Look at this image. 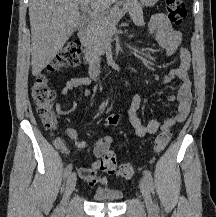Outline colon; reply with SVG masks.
<instances>
[{
  "label": "colon",
  "mask_w": 216,
  "mask_h": 217,
  "mask_svg": "<svg viewBox=\"0 0 216 217\" xmlns=\"http://www.w3.org/2000/svg\"><path fill=\"white\" fill-rule=\"evenodd\" d=\"M168 18L174 24H181L186 17V5L183 0H165ZM82 46L79 41H70L59 53L52 68L64 67L75 68L80 63V54ZM32 100L36 106L37 113L44 126L55 131L58 125V118L53 110V101L55 93L49 85L48 78L45 74L40 75L34 82L31 89ZM119 115L113 114L106 119V125L115 126L119 122ZM171 139V132L168 129L161 131L155 138L154 148L156 152L163 151ZM57 145L60 149L66 148L65 142L57 138ZM99 170L108 174H116L123 178H131L135 174V167L132 164H117L114 153H106L101 161Z\"/></svg>",
  "instance_id": "1"
}]
</instances>
